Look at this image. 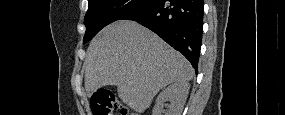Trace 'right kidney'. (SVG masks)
Segmentation results:
<instances>
[{
  "mask_svg": "<svg viewBox=\"0 0 285 115\" xmlns=\"http://www.w3.org/2000/svg\"><path fill=\"white\" fill-rule=\"evenodd\" d=\"M190 89L188 82L174 83L168 86L156 98L153 115H180ZM169 104H165L166 102ZM164 106L168 109L164 110Z\"/></svg>",
  "mask_w": 285,
  "mask_h": 115,
  "instance_id": "ca27d5eb",
  "label": "right kidney"
}]
</instances>
